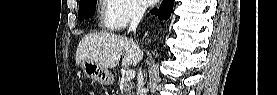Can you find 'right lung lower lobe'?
<instances>
[{
  "label": "right lung lower lobe",
  "mask_w": 277,
  "mask_h": 95,
  "mask_svg": "<svg viewBox=\"0 0 277 95\" xmlns=\"http://www.w3.org/2000/svg\"><path fill=\"white\" fill-rule=\"evenodd\" d=\"M173 0H163L159 8L151 10V14L158 16L162 20H167L173 9Z\"/></svg>",
  "instance_id": "right-lung-lower-lobe-1"
}]
</instances>
